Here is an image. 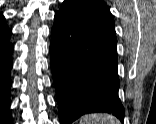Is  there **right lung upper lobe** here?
I'll return each mask as SVG.
<instances>
[{
  "instance_id": "obj_1",
  "label": "right lung upper lobe",
  "mask_w": 156,
  "mask_h": 124,
  "mask_svg": "<svg viewBox=\"0 0 156 124\" xmlns=\"http://www.w3.org/2000/svg\"><path fill=\"white\" fill-rule=\"evenodd\" d=\"M5 26L6 24H5V19H4V17L2 16V15H0V27L1 26ZM7 26V25H6Z\"/></svg>"
}]
</instances>
